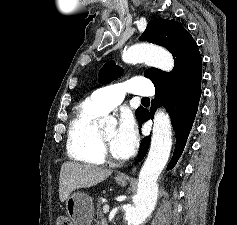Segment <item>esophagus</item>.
I'll return each mask as SVG.
<instances>
[{
  "label": "esophagus",
  "instance_id": "1",
  "mask_svg": "<svg viewBox=\"0 0 237 225\" xmlns=\"http://www.w3.org/2000/svg\"><path fill=\"white\" fill-rule=\"evenodd\" d=\"M135 172H136V167H133L129 173L134 174ZM119 177L128 178L129 175L127 173H120Z\"/></svg>",
  "mask_w": 237,
  "mask_h": 225
}]
</instances>
